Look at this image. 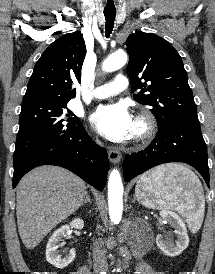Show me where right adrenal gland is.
<instances>
[{"instance_id":"obj_1","label":"right adrenal gland","mask_w":215,"mask_h":274,"mask_svg":"<svg viewBox=\"0 0 215 274\" xmlns=\"http://www.w3.org/2000/svg\"><path fill=\"white\" fill-rule=\"evenodd\" d=\"M87 202L91 203V200H90V197H89V193H88V192L86 193V198H85L84 202L82 203V206H83L84 204H86Z\"/></svg>"}]
</instances>
